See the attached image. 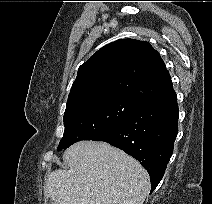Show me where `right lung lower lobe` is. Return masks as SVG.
<instances>
[{"label": "right lung lower lobe", "instance_id": "1", "mask_svg": "<svg viewBox=\"0 0 212 204\" xmlns=\"http://www.w3.org/2000/svg\"><path fill=\"white\" fill-rule=\"evenodd\" d=\"M177 97L173 88L144 100L124 121L102 136L136 158L151 177V192L162 179L178 133Z\"/></svg>", "mask_w": 212, "mask_h": 204}]
</instances>
